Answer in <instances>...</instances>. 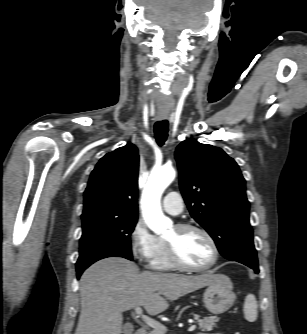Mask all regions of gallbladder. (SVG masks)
Instances as JSON below:
<instances>
[{
    "label": "gallbladder",
    "mask_w": 307,
    "mask_h": 334,
    "mask_svg": "<svg viewBox=\"0 0 307 334\" xmlns=\"http://www.w3.org/2000/svg\"><path fill=\"white\" fill-rule=\"evenodd\" d=\"M133 331V326L130 323L125 324L124 326V333L125 334H131Z\"/></svg>",
    "instance_id": "obj_1"
}]
</instances>
